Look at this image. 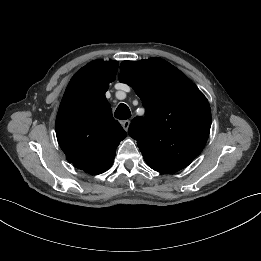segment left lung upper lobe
Wrapping results in <instances>:
<instances>
[{"label":"left lung upper lobe","instance_id":"1","mask_svg":"<svg viewBox=\"0 0 261 261\" xmlns=\"http://www.w3.org/2000/svg\"><path fill=\"white\" fill-rule=\"evenodd\" d=\"M119 80L141 98L145 117H136L129 135L155 171L173 173L203 150L211 127L208 100L180 70L161 58L123 61Z\"/></svg>","mask_w":261,"mask_h":261}]
</instances>
